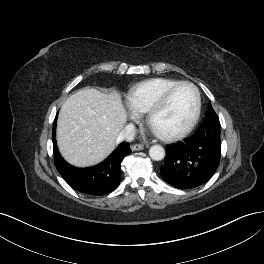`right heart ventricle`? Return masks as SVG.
I'll use <instances>...</instances> for the list:
<instances>
[{
	"mask_svg": "<svg viewBox=\"0 0 264 264\" xmlns=\"http://www.w3.org/2000/svg\"><path fill=\"white\" fill-rule=\"evenodd\" d=\"M178 82L177 79L156 77L135 84L127 94V103L136 113H146L159 99L164 90Z\"/></svg>",
	"mask_w": 264,
	"mask_h": 264,
	"instance_id": "right-heart-ventricle-1",
	"label": "right heart ventricle"
}]
</instances>
